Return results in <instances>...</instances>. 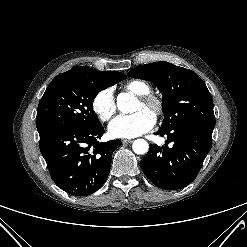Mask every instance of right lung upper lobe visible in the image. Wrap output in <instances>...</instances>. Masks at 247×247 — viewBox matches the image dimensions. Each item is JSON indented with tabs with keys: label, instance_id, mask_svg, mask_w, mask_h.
<instances>
[{
	"label": "right lung upper lobe",
	"instance_id": "obj_1",
	"mask_svg": "<svg viewBox=\"0 0 247 247\" xmlns=\"http://www.w3.org/2000/svg\"><path fill=\"white\" fill-rule=\"evenodd\" d=\"M68 73H79L84 74L91 77H98V78H110V79H122L126 78L121 72H102V71H95L94 69L84 67V66H75L71 70L67 71Z\"/></svg>",
	"mask_w": 247,
	"mask_h": 247
}]
</instances>
